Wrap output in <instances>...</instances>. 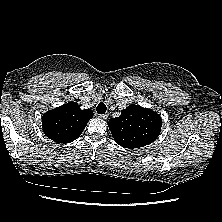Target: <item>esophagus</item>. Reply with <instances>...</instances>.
Here are the masks:
<instances>
[{"label": "esophagus", "instance_id": "esophagus-1", "mask_svg": "<svg viewBox=\"0 0 222 222\" xmlns=\"http://www.w3.org/2000/svg\"><path fill=\"white\" fill-rule=\"evenodd\" d=\"M99 118L105 120L108 118V114H102V115H99Z\"/></svg>", "mask_w": 222, "mask_h": 222}]
</instances>
